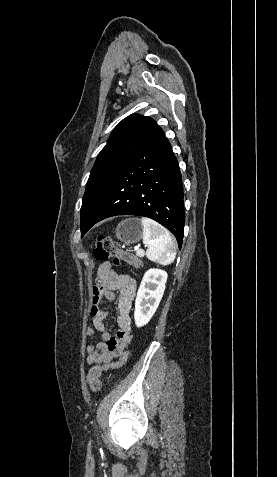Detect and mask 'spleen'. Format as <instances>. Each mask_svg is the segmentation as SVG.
Returning a JSON list of instances; mask_svg holds the SVG:
<instances>
[{
  "label": "spleen",
  "mask_w": 277,
  "mask_h": 477,
  "mask_svg": "<svg viewBox=\"0 0 277 477\" xmlns=\"http://www.w3.org/2000/svg\"><path fill=\"white\" fill-rule=\"evenodd\" d=\"M143 243L147 246L146 257L158 264H171L176 257V242L170 232L149 218H142Z\"/></svg>",
  "instance_id": "3e777b00"
}]
</instances>
